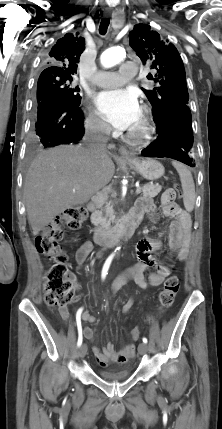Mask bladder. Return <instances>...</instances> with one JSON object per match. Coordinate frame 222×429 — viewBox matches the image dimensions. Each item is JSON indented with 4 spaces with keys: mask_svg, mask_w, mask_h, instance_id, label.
I'll return each instance as SVG.
<instances>
[{
    "mask_svg": "<svg viewBox=\"0 0 222 429\" xmlns=\"http://www.w3.org/2000/svg\"><path fill=\"white\" fill-rule=\"evenodd\" d=\"M131 372L126 369L119 370H103L100 371L98 376L104 380L108 381H123L129 378Z\"/></svg>",
    "mask_w": 222,
    "mask_h": 429,
    "instance_id": "obj_1",
    "label": "bladder"
}]
</instances>
